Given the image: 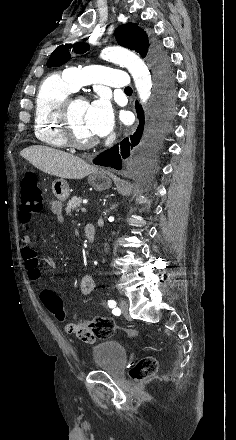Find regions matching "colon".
Instances as JSON below:
<instances>
[{
	"label": "colon",
	"mask_w": 236,
	"mask_h": 440,
	"mask_svg": "<svg viewBox=\"0 0 236 440\" xmlns=\"http://www.w3.org/2000/svg\"><path fill=\"white\" fill-rule=\"evenodd\" d=\"M21 205L20 218L23 222H30L32 217L41 212L43 208V195L39 186L37 176L32 173H26L21 180ZM45 307L60 321L66 319V312L62 299L51 290H45L41 294ZM78 324H86L88 330L92 331L91 339H106L113 335L117 329L114 321L104 317H97L92 320L81 321ZM132 336L137 335L135 330H129ZM158 362L154 357L147 356L141 358L135 367L131 370L130 376L135 381H143L150 378L156 372Z\"/></svg>",
	"instance_id": "colon-1"
}]
</instances>
